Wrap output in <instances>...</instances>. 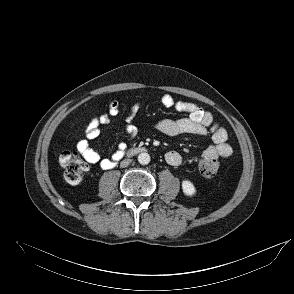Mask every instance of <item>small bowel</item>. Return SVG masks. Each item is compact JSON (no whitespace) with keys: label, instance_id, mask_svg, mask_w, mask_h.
<instances>
[{"label":"small bowel","instance_id":"obj_1","mask_svg":"<svg viewBox=\"0 0 294 294\" xmlns=\"http://www.w3.org/2000/svg\"><path fill=\"white\" fill-rule=\"evenodd\" d=\"M162 104L167 108H173L178 112L186 113L187 116L178 120L162 119L159 120L155 128L168 136H177L182 134L193 135H211L212 144L201 154L186 158L177 151H169L165 155L166 162L171 166H180L184 162H197L202 157L228 158L232 154V148L227 143V132L215 122L213 115L205 111L197 104L176 101L170 94H164L161 97ZM140 108V104H134L125 118V130L131 136L136 135L137 129L133 123L134 117ZM119 113V103L112 101L109 110L92 118L85 128V138L77 143V150L83 158L92 164H98L102 169H111L124 156L126 145L120 143L116 151L110 157H104L102 152L93 149L89 140L96 139L101 132V126L108 125L112 118Z\"/></svg>","mask_w":294,"mask_h":294}]
</instances>
